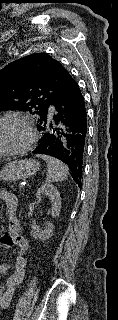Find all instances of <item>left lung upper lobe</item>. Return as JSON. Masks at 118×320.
<instances>
[{
	"label": "left lung upper lobe",
	"instance_id": "1",
	"mask_svg": "<svg viewBox=\"0 0 118 320\" xmlns=\"http://www.w3.org/2000/svg\"><path fill=\"white\" fill-rule=\"evenodd\" d=\"M71 80L68 71L45 53L16 60L0 71V111L22 110L41 119Z\"/></svg>",
	"mask_w": 118,
	"mask_h": 320
}]
</instances>
